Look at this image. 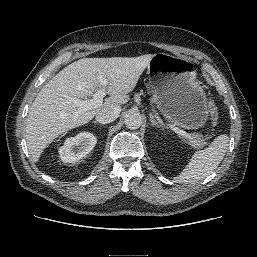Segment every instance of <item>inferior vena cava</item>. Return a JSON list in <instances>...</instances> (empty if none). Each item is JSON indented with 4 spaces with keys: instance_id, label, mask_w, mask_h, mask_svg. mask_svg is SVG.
Segmentation results:
<instances>
[{
    "instance_id": "inferior-vena-cava-1",
    "label": "inferior vena cava",
    "mask_w": 257,
    "mask_h": 257,
    "mask_svg": "<svg viewBox=\"0 0 257 257\" xmlns=\"http://www.w3.org/2000/svg\"><path fill=\"white\" fill-rule=\"evenodd\" d=\"M121 112V107L118 105H112L108 108L97 111L95 118L96 121L101 124L111 123L118 117Z\"/></svg>"
}]
</instances>
